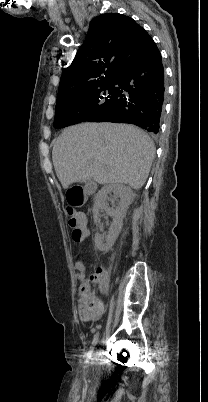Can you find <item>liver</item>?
<instances>
[{
    "label": "liver",
    "instance_id": "liver-1",
    "mask_svg": "<svg viewBox=\"0 0 208 402\" xmlns=\"http://www.w3.org/2000/svg\"><path fill=\"white\" fill-rule=\"evenodd\" d=\"M153 140L131 124H78L56 138L53 166L63 188L97 184L144 186L154 160Z\"/></svg>",
    "mask_w": 208,
    "mask_h": 402
}]
</instances>
